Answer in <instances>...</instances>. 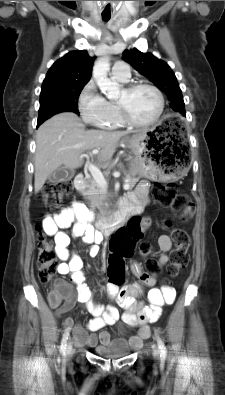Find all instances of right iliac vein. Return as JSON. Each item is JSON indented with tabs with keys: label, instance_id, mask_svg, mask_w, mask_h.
Instances as JSON below:
<instances>
[{
	"label": "right iliac vein",
	"instance_id": "1",
	"mask_svg": "<svg viewBox=\"0 0 225 395\" xmlns=\"http://www.w3.org/2000/svg\"><path fill=\"white\" fill-rule=\"evenodd\" d=\"M72 354H73V346H72V342L69 341L67 348H66V355L68 358H70L72 356Z\"/></svg>",
	"mask_w": 225,
	"mask_h": 395
}]
</instances>
